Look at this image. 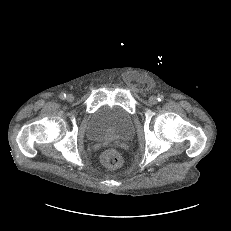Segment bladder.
<instances>
[{
    "label": "bladder",
    "mask_w": 231,
    "mask_h": 231,
    "mask_svg": "<svg viewBox=\"0 0 231 231\" xmlns=\"http://www.w3.org/2000/svg\"><path fill=\"white\" fill-rule=\"evenodd\" d=\"M85 134L90 141H125L134 135L131 115L117 106H103L88 119Z\"/></svg>",
    "instance_id": "obj_1"
}]
</instances>
